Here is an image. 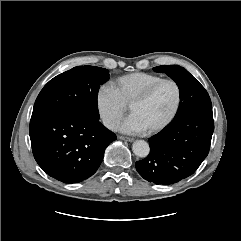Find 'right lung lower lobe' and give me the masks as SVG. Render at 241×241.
Returning a JSON list of instances; mask_svg holds the SVG:
<instances>
[{
	"label": "right lung lower lobe",
	"mask_w": 241,
	"mask_h": 241,
	"mask_svg": "<svg viewBox=\"0 0 241 241\" xmlns=\"http://www.w3.org/2000/svg\"><path fill=\"white\" fill-rule=\"evenodd\" d=\"M30 139L35 160L50 177L78 183L100 166L116 135L98 120L74 112L32 116Z\"/></svg>",
	"instance_id": "right-lung-lower-lobe-1"
}]
</instances>
